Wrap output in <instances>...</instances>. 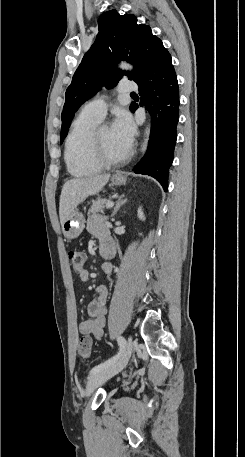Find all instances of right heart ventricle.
Segmentation results:
<instances>
[{
    "mask_svg": "<svg viewBox=\"0 0 245 457\" xmlns=\"http://www.w3.org/2000/svg\"><path fill=\"white\" fill-rule=\"evenodd\" d=\"M98 122L99 120L92 117L79 115L71 125L65 143V160L69 171L74 176H84L98 170L83 157L85 137Z\"/></svg>",
    "mask_w": 245,
    "mask_h": 457,
    "instance_id": "1",
    "label": "right heart ventricle"
}]
</instances>
